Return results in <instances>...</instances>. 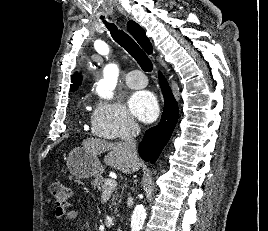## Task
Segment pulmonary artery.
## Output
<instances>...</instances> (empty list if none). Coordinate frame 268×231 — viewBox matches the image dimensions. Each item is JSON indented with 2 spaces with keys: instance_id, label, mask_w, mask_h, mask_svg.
<instances>
[{
  "instance_id": "1",
  "label": "pulmonary artery",
  "mask_w": 268,
  "mask_h": 231,
  "mask_svg": "<svg viewBox=\"0 0 268 231\" xmlns=\"http://www.w3.org/2000/svg\"><path fill=\"white\" fill-rule=\"evenodd\" d=\"M125 81L127 86L133 89H141L147 85L144 74L138 69L129 71L125 77Z\"/></svg>"
}]
</instances>
